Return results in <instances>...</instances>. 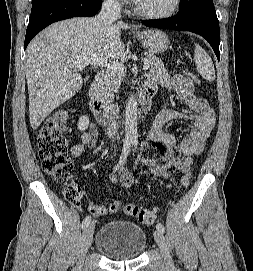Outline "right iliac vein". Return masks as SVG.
Wrapping results in <instances>:
<instances>
[{
    "label": "right iliac vein",
    "mask_w": 253,
    "mask_h": 271,
    "mask_svg": "<svg viewBox=\"0 0 253 271\" xmlns=\"http://www.w3.org/2000/svg\"><path fill=\"white\" fill-rule=\"evenodd\" d=\"M93 232H94V222L86 226L82 233L81 243H80V262L77 266V271H81V266H82L81 260H83L84 256L86 255L91 245Z\"/></svg>",
    "instance_id": "right-iliac-vein-1"
}]
</instances>
